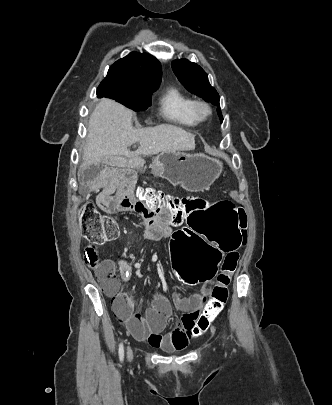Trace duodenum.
Wrapping results in <instances>:
<instances>
[{
  "label": "duodenum",
  "instance_id": "obj_1",
  "mask_svg": "<svg viewBox=\"0 0 332 405\" xmlns=\"http://www.w3.org/2000/svg\"><path fill=\"white\" fill-rule=\"evenodd\" d=\"M151 217H152L153 219H155V220H159V215H158L157 213H155V212H153V213L151 214Z\"/></svg>",
  "mask_w": 332,
  "mask_h": 405
}]
</instances>
